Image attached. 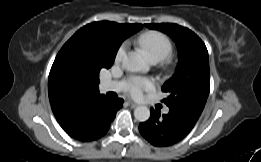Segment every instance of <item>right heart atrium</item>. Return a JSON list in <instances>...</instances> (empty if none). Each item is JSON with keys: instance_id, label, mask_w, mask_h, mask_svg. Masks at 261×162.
<instances>
[{"instance_id": "obj_1", "label": "right heart atrium", "mask_w": 261, "mask_h": 162, "mask_svg": "<svg viewBox=\"0 0 261 162\" xmlns=\"http://www.w3.org/2000/svg\"><path fill=\"white\" fill-rule=\"evenodd\" d=\"M126 49H127V46L125 44L121 45L116 53V61H121L125 55V52H126Z\"/></svg>"}]
</instances>
